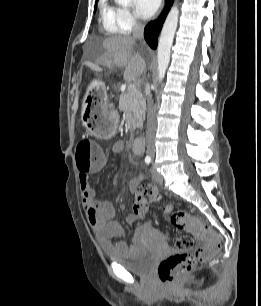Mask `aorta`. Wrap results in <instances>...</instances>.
Masks as SVG:
<instances>
[{
  "label": "aorta",
  "mask_w": 261,
  "mask_h": 306,
  "mask_svg": "<svg viewBox=\"0 0 261 306\" xmlns=\"http://www.w3.org/2000/svg\"><path fill=\"white\" fill-rule=\"evenodd\" d=\"M118 4L128 6L132 0H115ZM179 9L174 5L164 22L157 48L158 80L162 82L170 62V51L178 25Z\"/></svg>",
  "instance_id": "1"
}]
</instances>
